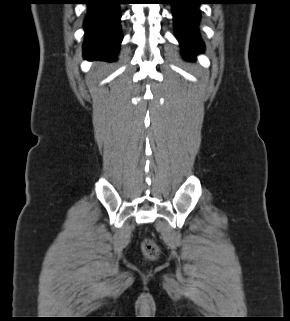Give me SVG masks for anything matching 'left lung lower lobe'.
Listing matches in <instances>:
<instances>
[{"label": "left lung lower lobe", "instance_id": "obj_1", "mask_svg": "<svg viewBox=\"0 0 290 321\" xmlns=\"http://www.w3.org/2000/svg\"><path fill=\"white\" fill-rule=\"evenodd\" d=\"M205 0H170L176 36L182 44L185 57L192 59L203 50L198 32L199 4Z\"/></svg>", "mask_w": 290, "mask_h": 321}]
</instances>
